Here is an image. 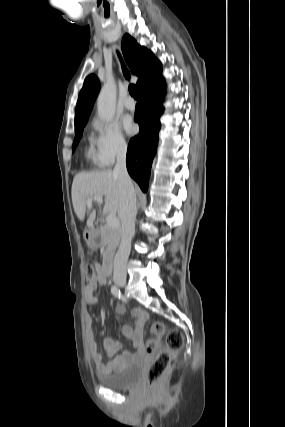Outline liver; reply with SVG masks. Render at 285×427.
I'll return each mask as SVG.
<instances>
[{
	"mask_svg": "<svg viewBox=\"0 0 285 427\" xmlns=\"http://www.w3.org/2000/svg\"><path fill=\"white\" fill-rule=\"evenodd\" d=\"M74 211L80 221L85 218L87 200L93 196L105 197L103 212L116 213L119 208L120 191L118 176L112 170L81 172L76 174L71 189ZM96 210L87 219V227H93Z\"/></svg>",
	"mask_w": 285,
	"mask_h": 427,
	"instance_id": "liver-1",
	"label": "liver"
}]
</instances>
